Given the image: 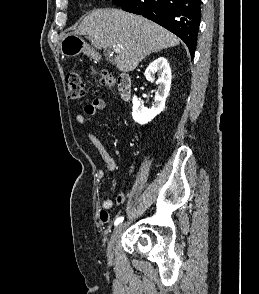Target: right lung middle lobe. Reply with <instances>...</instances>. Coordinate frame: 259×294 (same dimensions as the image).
<instances>
[{"mask_svg": "<svg viewBox=\"0 0 259 294\" xmlns=\"http://www.w3.org/2000/svg\"><path fill=\"white\" fill-rule=\"evenodd\" d=\"M114 2V4H116L117 6H120L121 4H123L124 2H126L127 0H112Z\"/></svg>", "mask_w": 259, "mask_h": 294, "instance_id": "dd1d6c3e", "label": "right lung middle lobe"}]
</instances>
